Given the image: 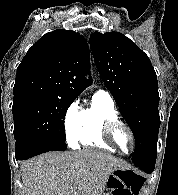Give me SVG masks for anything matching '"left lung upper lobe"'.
I'll use <instances>...</instances> for the list:
<instances>
[{"instance_id":"obj_1","label":"left lung upper lobe","mask_w":178,"mask_h":195,"mask_svg":"<svg viewBox=\"0 0 178 195\" xmlns=\"http://www.w3.org/2000/svg\"><path fill=\"white\" fill-rule=\"evenodd\" d=\"M89 43L100 76L134 134L133 159L156 153L159 93L148 56L119 32H94Z\"/></svg>"}]
</instances>
